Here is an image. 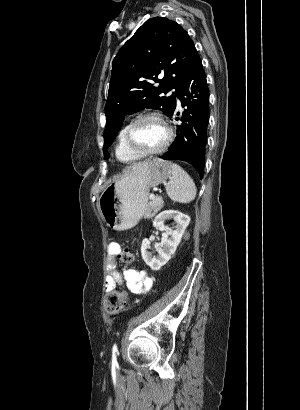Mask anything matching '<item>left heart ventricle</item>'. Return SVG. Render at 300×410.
Here are the masks:
<instances>
[{"instance_id":"b2bd125f","label":"left heart ventricle","mask_w":300,"mask_h":410,"mask_svg":"<svg viewBox=\"0 0 300 410\" xmlns=\"http://www.w3.org/2000/svg\"><path fill=\"white\" fill-rule=\"evenodd\" d=\"M166 135V130L160 121L147 119L134 129L133 140L142 150H155L164 143Z\"/></svg>"}]
</instances>
